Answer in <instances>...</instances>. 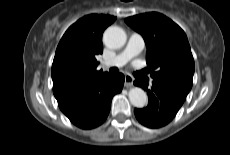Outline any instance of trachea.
<instances>
[{"label": "trachea", "mask_w": 230, "mask_h": 155, "mask_svg": "<svg viewBox=\"0 0 230 155\" xmlns=\"http://www.w3.org/2000/svg\"><path fill=\"white\" fill-rule=\"evenodd\" d=\"M109 72H110L111 74H117V73H118V68L113 67V68H111V69L109 70Z\"/></svg>", "instance_id": "3493384b"}]
</instances>
